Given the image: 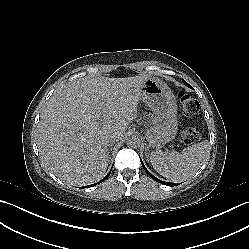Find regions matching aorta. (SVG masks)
I'll return each mask as SVG.
<instances>
[{"label":"aorta","mask_w":249,"mask_h":249,"mask_svg":"<svg viewBox=\"0 0 249 249\" xmlns=\"http://www.w3.org/2000/svg\"><path fill=\"white\" fill-rule=\"evenodd\" d=\"M126 145L130 148L138 147L140 145V139L135 135L128 136L126 138Z\"/></svg>","instance_id":"aorta-1"}]
</instances>
